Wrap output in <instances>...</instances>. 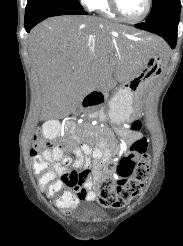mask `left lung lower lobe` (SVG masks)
Here are the masks:
<instances>
[{"label": "left lung lower lobe", "instance_id": "0a47b994", "mask_svg": "<svg viewBox=\"0 0 183 246\" xmlns=\"http://www.w3.org/2000/svg\"><path fill=\"white\" fill-rule=\"evenodd\" d=\"M181 4L163 13L160 17L136 24L135 27L141 30L155 33L163 37L172 49L176 46L177 29L180 19Z\"/></svg>", "mask_w": 183, "mask_h": 246}]
</instances>
